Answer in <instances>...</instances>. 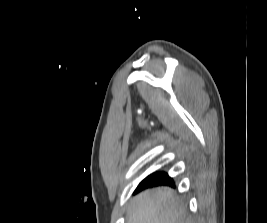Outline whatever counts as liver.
<instances>
[{
  "instance_id": "1",
  "label": "liver",
  "mask_w": 267,
  "mask_h": 223,
  "mask_svg": "<svg viewBox=\"0 0 267 223\" xmlns=\"http://www.w3.org/2000/svg\"><path fill=\"white\" fill-rule=\"evenodd\" d=\"M127 223H192L182 200L170 188L146 190L134 199Z\"/></svg>"
}]
</instances>
